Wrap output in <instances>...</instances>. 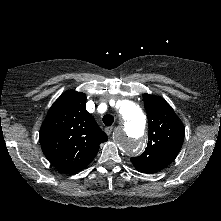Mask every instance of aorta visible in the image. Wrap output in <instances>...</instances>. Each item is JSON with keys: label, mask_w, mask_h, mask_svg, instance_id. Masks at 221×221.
Here are the masks:
<instances>
[{"label": "aorta", "mask_w": 221, "mask_h": 221, "mask_svg": "<svg viewBox=\"0 0 221 221\" xmlns=\"http://www.w3.org/2000/svg\"><path fill=\"white\" fill-rule=\"evenodd\" d=\"M118 111L122 125L116 134V141L124 152L137 155L144 147L145 115L137 104L129 100L121 101Z\"/></svg>", "instance_id": "1"}]
</instances>
